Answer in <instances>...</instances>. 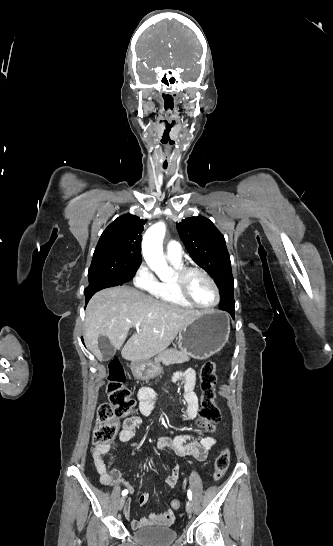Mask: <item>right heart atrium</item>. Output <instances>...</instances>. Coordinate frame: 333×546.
Here are the masks:
<instances>
[{"label": "right heart atrium", "mask_w": 333, "mask_h": 546, "mask_svg": "<svg viewBox=\"0 0 333 546\" xmlns=\"http://www.w3.org/2000/svg\"><path fill=\"white\" fill-rule=\"evenodd\" d=\"M133 283L136 288L150 295L156 296L159 292L160 282L146 263H142L136 270Z\"/></svg>", "instance_id": "obj_1"}]
</instances>
